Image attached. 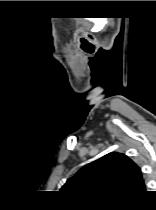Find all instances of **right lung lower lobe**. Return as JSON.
I'll list each match as a JSON object with an SVG mask.
<instances>
[{"instance_id":"obj_1","label":"right lung lower lobe","mask_w":156,"mask_h":210,"mask_svg":"<svg viewBox=\"0 0 156 210\" xmlns=\"http://www.w3.org/2000/svg\"><path fill=\"white\" fill-rule=\"evenodd\" d=\"M141 196H142V195H141ZM141 196H140V197H141ZM140 197H138V198H140ZM138 198H135L134 200H137ZM134 200H132V201H134Z\"/></svg>"}]
</instances>
